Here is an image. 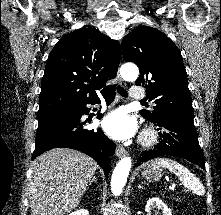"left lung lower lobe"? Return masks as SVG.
<instances>
[{
  "instance_id": "obj_1",
  "label": "left lung lower lobe",
  "mask_w": 221,
  "mask_h": 215,
  "mask_svg": "<svg viewBox=\"0 0 221 215\" xmlns=\"http://www.w3.org/2000/svg\"><path fill=\"white\" fill-rule=\"evenodd\" d=\"M156 123L163 130V133L160 132L161 141L153 150L145 151L136 166L152 158L172 155L205 168V159L198 142L193 118L162 117Z\"/></svg>"
}]
</instances>
